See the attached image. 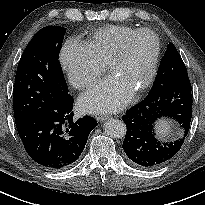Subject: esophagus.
Returning a JSON list of instances; mask_svg holds the SVG:
<instances>
[{
	"label": "esophagus",
	"instance_id": "34e87169",
	"mask_svg": "<svg viewBox=\"0 0 205 205\" xmlns=\"http://www.w3.org/2000/svg\"><path fill=\"white\" fill-rule=\"evenodd\" d=\"M95 118H96V120L98 122H102V121L108 119L109 117L108 116H104V115H96Z\"/></svg>",
	"mask_w": 205,
	"mask_h": 205
}]
</instances>
